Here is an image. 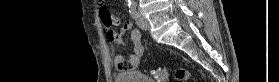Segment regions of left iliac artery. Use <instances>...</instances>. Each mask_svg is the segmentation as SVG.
<instances>
[{
  "label": "left iliac artery",
  "instance_id": "obj_1",
  "mask_svg": "<svg viewBox=\"0 0 279 82\" xmlns=\"http://www.w3.org/2000/svg\"><path fill=\"white\" fill-rule=\"evenodd\" d=\"M128 6H129V12L131 16L135 19L137 18V11H136V5L133 0H128Z\"/></svg>",
  "mask_w": 279,
  "mask_h": 82
}]
</instances>
